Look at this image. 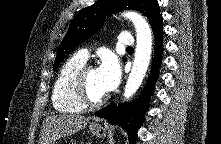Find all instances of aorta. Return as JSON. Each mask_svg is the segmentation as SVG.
Here are the masks:
<instances>
[{
    "label": "aorta",
    "mask_w": 221,
    "mask_h": 144,
    "mask_svg": "<svg viewBox=\"0 0 221 144\" xmlns=\"http://www.w3.org/2000/svg\"><path fill=\"white\" fill-rule=\"evenodd\" d=\"M122 16L133 22L137 34L135 58L124 89V97L129 99L140 87L150 63L152 34L149 24L138 13L127 11Z\"/></svg>",
    "instance_id": "aorta-1"
}]
</instances>
